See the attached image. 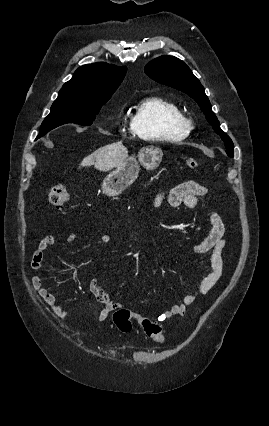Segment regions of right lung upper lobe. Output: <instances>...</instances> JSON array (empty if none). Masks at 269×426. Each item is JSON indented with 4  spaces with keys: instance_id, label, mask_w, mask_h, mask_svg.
<instances>
[{
    "instance_id": "cb5924a9",
    "label": "right lung upper lobe",
    "mask_w": 269,
    "mask_h": 426,
    "mask_svg": "<svg viewBox=\"0 0 269 426\" xmlns=\"http://www.w3.org/2000/svg\"><path fill=\"white\" fill-rule=\"evenodd\" d=\"M127 68L99 62L83 65L66 82L59 94H80L86 97L110 96L122 82Z\"/></svg>"
}]
</instances>
